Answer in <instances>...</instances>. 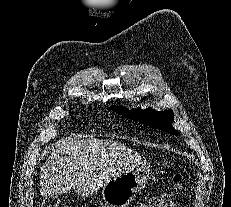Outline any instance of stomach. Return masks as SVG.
<instances>
[{
  "instance_id": "stomach-1",
  "label": "stomach",
  "mask_w": 231,
  "mask_h": 207,
  "mask_svg": "<svg viewBox=\"0 0 231 207\" xmlns=\"http://www.w3.org/2000/svg\"><path fill=\"white\" fill-rule=\"evenodd\" d=\"M150 176L148 164L125 169L114 175L102 187V197L107 207H127L144 188Z\"/></svg>"
}]
</instances>
